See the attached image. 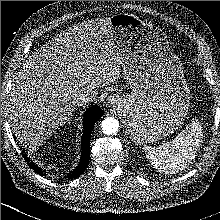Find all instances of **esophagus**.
I'll use <instances>...</instances> for the list:
<instances>
[{"instance_id": "esophagus-1", "label": "esophagus", "mask_w": 220, "mask_h": 220, "mask_svg": "<svg viewBox=\"0 0 220 220\" xmlns=\"http://www.w3.org/2000/svg\"><path fill=\"white\" fill-rule=\"evenodd\" d=\"M120 97L118 95H111L106 99V106L109 108H116L120 104Z\"/></svg>"}]
</instances>
